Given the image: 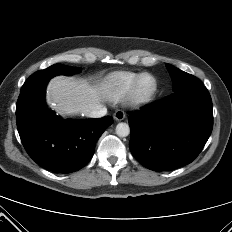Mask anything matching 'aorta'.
<instances>
[{
    "instance_id": "aorta-1",
    "label": "aorta",
    "mask_w": 232,
    "mask_h": 232,
    "mask_svg": "<svg viewBox=\"0 0 232 232\" xmlns=\"http://www.w3.org/2000/svg\"><path fill=\"white\" fill-rule=\"evenodd\" d=\"M115 130L119 137H126L130 133L129 125L124 122L118 123Z\"/></svg>"
}]
</instances>
